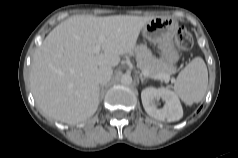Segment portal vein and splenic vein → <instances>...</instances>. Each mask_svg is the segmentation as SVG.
Listing matches in <instances>:
<instances>
[{"label": "portal vein and splenic vein", "instance_id": "1", "mask_svg": "<svg viewBox=\"0 0 238 158\" xmlns=\"http://www.w3.org/2000/svg\"><path fill=\"white\" fill-rule=\"evenodd\" d=\"M103 41H104V37L99 36L97 44L93 48V52L95 54H99ZM142 73H143L144 76L151 77L153 79H159V80H162V81H165V82H169V80H170V75H168V74H157V75L151 76L149 71L146 70V69L142 70ZM172 81H174V79H172Z\"/></svg>", "mask_w": 238, "mask_h": 158}]
</instances>
